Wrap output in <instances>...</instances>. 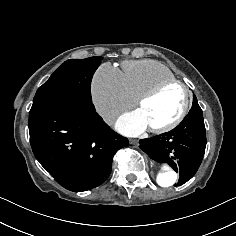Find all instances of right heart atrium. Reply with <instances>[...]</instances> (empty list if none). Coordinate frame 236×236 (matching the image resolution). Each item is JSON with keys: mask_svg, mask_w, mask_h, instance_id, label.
Here are the masks:
<instances>
[{"mask_svg": "<svg viewBox=\"0 0 236 236\" xmlns=\"http://www.w3.org/2000/svg\"><path fill=\"white\" fill-rule=\"evenodd\" d=\"M91 97L98 117L106 124L132 105L124 75L109 63L102 64L91 81Z\"/></svg>", "mask_w": 236, "mask_h": 236, "instance_id": "d8ad5b80", "label": "right heart atrium"}]
</instances>
